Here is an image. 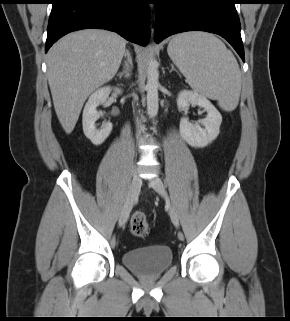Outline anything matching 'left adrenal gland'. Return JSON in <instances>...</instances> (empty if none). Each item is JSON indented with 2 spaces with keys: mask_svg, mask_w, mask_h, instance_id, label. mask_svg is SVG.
<instances>
[{
  "mask_svg": "<svg viewBox=\"0 0 290 321\" xmlns=\"http://www.w3.org/2000/svg\"><path fill=\"white\" fill-rule=\"evenodd\" d=\"M172 71H176V72H177V70L174 68V65H173V64H171V70H170V72H172Z\"/></svg>",
  "mask_w": 290,
  "mask_h": 321,
  "instance_id": "obj_1",
  "label": "left adrenal gland"
}]
</instances>
